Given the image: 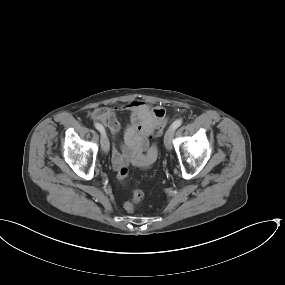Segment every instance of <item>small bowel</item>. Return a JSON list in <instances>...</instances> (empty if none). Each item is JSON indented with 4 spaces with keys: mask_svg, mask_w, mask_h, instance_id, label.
Listing matches in <instances>:
<instances>
[{
    "mask_svg": "<svg viewBox=\"0 0 285 285\" xmlns=\"http://www.w3.org/2000/svg\"><path fill=\"white\" fill-rule=\"evenodd\" d=\"M120 110L131 112V123L124 134L125 153L117 148L112 150V163L116 170L134 165L149 168L156 160L157 148L151 145L148 137L161 120H166V112L160 106H151L141 100H134L118 107H98L89 112L92 120L106 125L113 134L120 131L116 113Z\"/></svg>",
    "mask_w": 285,
    "mask_h": 285,
    "instance_id": "obj_1",
    "label": "small bowel"
}]
</instances>
